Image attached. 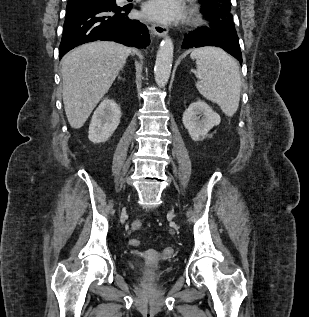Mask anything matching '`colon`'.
<instances>
[{
  "mask_svg": "<svg viewBox=\"0 0 309 317\" xmlns=\"http://www.w3.org/2000/svg\"><path fill=\"white\" fill-rule=\"evenodd\" d=\"M141 227H142V222L140 221V220H134L132 223H131V229L133 230V231H137V230H139V229H141ZM129 244L131 245V246H139L140 245V241L138 240V239H130L129 240ZM170 249H167L166 250V252L167 253H170Z\"/></svg>",
  "mask_w": 309,
  "mask_h": 317,
  "instance_id": "colon-1",
  "label": "colon"
}]
</instances>
